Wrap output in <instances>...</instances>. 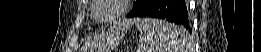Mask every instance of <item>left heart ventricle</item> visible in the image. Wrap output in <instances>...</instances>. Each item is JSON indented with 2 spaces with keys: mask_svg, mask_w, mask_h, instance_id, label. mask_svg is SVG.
<instances>
[{
  "mask_svg": "<svg viewBox=\"0 0 261 52\" xmlns=\"http://www.w3.org/2000/svg\"><path fill=\"white\" fill-rule=\"evenodd\" d=\"M116 7L114 5H105L98 9L97 16L101 19L111 17L115 13Z\"/></svg>",
  "mask_w": 261,
  "mask_h": 52,
  "instance_id": "obj_1",
  "label": "left heart ventricle"
}]
</instances>
